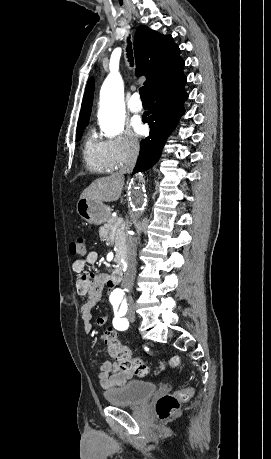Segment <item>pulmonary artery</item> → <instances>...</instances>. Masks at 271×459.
Returning a JSON list of instances; mask_svg holds the SVG:
<instances>
[{"instance_id":"e3ab8cb5","label":"pulmonary artery","mask_w":271,"mask_h":459,"mask_svg":"<svg viewBox=\"0 0 271 459\" xmlns=\"http://www.w3.org/2000/svg\"><path fill=\"white\" fill-rule=\"evenodd\" d=\"M128 109L132 113H140L143 110V104L140 99V95L138 93H135L131 99L128 101Z\"/></svg>"}]
</instances>
